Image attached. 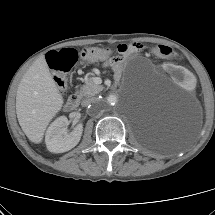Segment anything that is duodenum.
I'll return each mask as SVG.
<instances>
[{
    "mask_svg": "<svg viewBox=\"0 0 215 215\" xmlns=\"http://www.w3.org/2000/svg\"><path fill=\"white\" fill-rule=\"evenodd\" d=\"M80 97L77 94L71 95L65 103V109L67 111H73L79 105Z\"/></svg>",
    "mask_w": 215,
    "mask_h": 215,
    "instance_id": "duodenum-1",
    "label": "duodenum"
}]
</instances>
